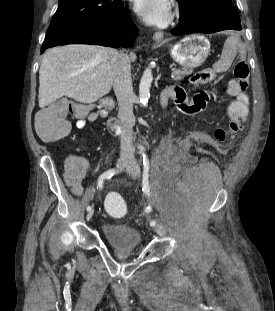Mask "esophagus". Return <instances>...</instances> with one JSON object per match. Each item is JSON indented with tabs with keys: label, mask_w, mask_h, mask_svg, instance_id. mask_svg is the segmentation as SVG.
I'll use <instances>...</instances> for the list:
<instances>
[{
	"label": "esophagus",
	"mask_w": 275,
	"mask_h": 311,
	"mask_svg": "<svg viewBox=\"0 0 275 311\" xmlns=\"http://www.w3.org/2000/svg\"><path fill=\"white\" fill-rule=\"evenodd\" d=\"M154 41L157 43H162L164 41V33L162 31H157L153 35Z\"/></svg>",
	"instance_id": "esophagus-1"
}]
</instances>
